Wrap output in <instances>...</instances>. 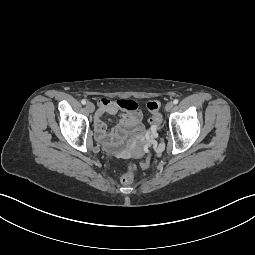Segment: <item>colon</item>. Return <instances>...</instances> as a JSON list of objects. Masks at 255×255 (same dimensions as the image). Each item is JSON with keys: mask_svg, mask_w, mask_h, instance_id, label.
Returning <instances> with one entry per match:
<instances>
[{"mask_svg": "<svg viewBox=\"0 0 255 255\" xmlns=\"http://www.w3.org/2000/svg\"><path fill=\"white\" fill-rule=\"evenodd\" d=\"M146 106L151 114L150 119H149L151 132L155 133L158 130L159 125L162 121V117L159 112L160 103L158 101H149ZM147 165L148 164L146 162L142 165V167L146 168ZM133 180H134V170L133 169H130L127 172H125L121 177V183L125 186L132 184Z\"/></svg>", "mask_w": 255, "mask_h": 255, "instance_id": "obj_1", "label": "colon"}]
</instances>
